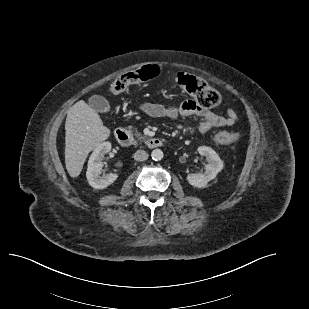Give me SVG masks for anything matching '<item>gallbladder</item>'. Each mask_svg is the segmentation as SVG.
<instances>
[{
    "mask_svg": "<svg viewBox=\"0 0 309 309\" xmlns=\"http://www.w3.org/2000/svg\"><path fill=\"white\" fill-rule=\"evenodd\" d=\"M89 105L98 112H108L110 104L106 98L100 95H93L89 98Z\"/></svg>",
    "mask_w": 309,
    "mask_h": 309,
    "instance_id": "bac80fb5",
    "label": "gallbladder"
}]
</instances>
